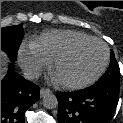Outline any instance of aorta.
Here are the masks:
<instances>
[{
	"label": "aorta",
	"instance_id": "obj_1",
	"mask_svg": "<svg viewBox=\"0 0 123 123\" xmlns=\"http://www.w3.org/2000/svg\"><path fill=\"white\" fill-rule=\"evenodd\" d=\"M43 106L47 109H54L58 106V100L57 97L50 92H47L43 95Z\"/></svg>",
	"mask_w": 123,
	"mask_h": 123
}]
</instances>
